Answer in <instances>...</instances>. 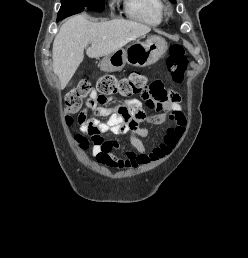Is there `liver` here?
Here are the masks:
<instances>
[{
	"label": "liver",
	"instance_id": "obj_1",
	"mask_svg": "<svg viewBox=\"0 0 248 258\" xmlns=\"http://www.w3.org/2000/svg\"><path fill=\"white\" fill-rule=\"evenodd\" d=\"M151 31L141 23L123 19L93 23L84 15L68 19L60 28L53 43V71L65 88L84 59L110 55Z\"/></svg>",
	"mask_w": 248,
	"mask_h": 258
}]
</instances>
